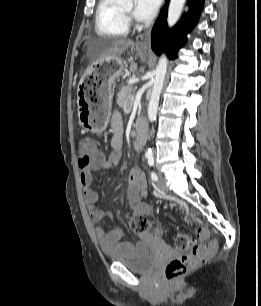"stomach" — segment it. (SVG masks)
I'll return each mask as SVG.
<instances>
[{"label": "stomach", "mask_w": 261, "mask_h": 306, "mask_svg": "<svg viewBox=\"0 0 261 306\" xmlns=\"http://www.w3.org/2000/svg\"><path fill=\"white\" fill-rule=\"evenodd\" d=\"M96 63L100 66L96 72L100 77L90 84L85 83L83 79L77 102L81 126L86 131L100 133L109 123L113 99L112 82L121 73L123 62L119 56H114L100 59Z\"/></svg>", "instance_id": "stomach-1"}]
</instances>
